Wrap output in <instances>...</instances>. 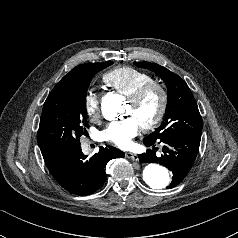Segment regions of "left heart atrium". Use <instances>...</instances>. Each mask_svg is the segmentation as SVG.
Segmentation results:
<instances>
[{
	"label": "left heart atrium",
	"mask_w": 238,
	"mask_h": 238,
	"mask_svg": "<svg viewBox=\"0 0 238 238\" xmlns=\"http://www.w3.org/2000/svg\"><path fill=\"white\" fill-rule=\"evenodd\" d=\"M140 129L139 123L131 116L110 123L103 132L105 140L120 148H128Z\"/></svg>",
	"instance_id": "obj_1"
}]
</instances>
